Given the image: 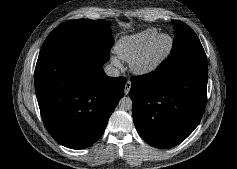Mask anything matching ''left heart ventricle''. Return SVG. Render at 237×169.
<instances>
[{"label": "left heart ventricle", "instance_id": "left-heart-ventricle-1", "mask_svg": "<svg viewBox=\"0 0 237 169\" xmlns=\"http://www.w3.org/2000/svg\"><path fill=\"white\" fill-rule=\"evenodd\" d=\"M168 39L166 37L159 38L147 54V60H154L165 52L168 47Z\"/></svg>", "mask_w": 237, "mask_h": 169}]
</instances>
